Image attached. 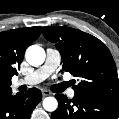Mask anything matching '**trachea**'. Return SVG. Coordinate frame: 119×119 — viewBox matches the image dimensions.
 I'll return each instance as SVG.
<instances>
[{"label":"trachea","instance_id":"1","mask_svg":"<svg viewBox=\"0 0 119 119\" xmlns=\"http://www.w3.org/2000/svg\"><path fill=\"white\" fill-rule=\"evenodd\" d=\"M62 88H63V86H60V87L58 88V91H61V90H62Z\"/></svg>","mask_w":119,"mask_h":119}]
</instances>
